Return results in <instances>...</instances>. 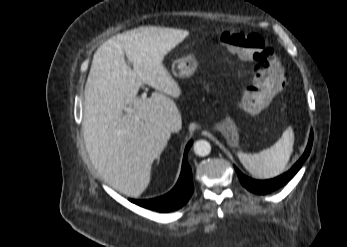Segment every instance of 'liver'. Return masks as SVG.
<instances>
[{
    "instance_id": "1",
    "label": "liver",
    "mask_w": 347,
    "mask_h": 247,
    "mask_svg": "<svg viewBox=\"0 0 347 247\" xmlns=\"http://www.w3.org/2000/svg\"><path fill=\"white\" fill-rule=\"evenodd\" d=\"M189 34L186 30L142 27L111 37L95 52L85 85L83 134L86 150L102 178L117 191L140 196L153 161L171 132L182 127L174 100L181 88L163 65L164 56ZM124 54L133 63L126 64ZM162 93L141 101L142 84ZM127 105L133 113L123 114ZM173 123L169 131L165 124Z\"/></svg>"
}]
</instances>
